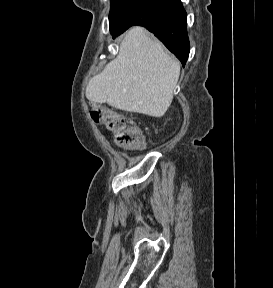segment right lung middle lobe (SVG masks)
Segmentation results:
<instances>
[{
  "mask_svg": "<svg viewBox=\"0 0 273 288\" xmlns=\"http://www.w3.org/2000/svg\"><path fill=\"white\" fill-rule=\"evenodd\" d=\"M137 0H111L109 13L110 29L113 28Z\"/></svg>",
  "mask_w": 273,
  "mask_h": 288,
  "instance_id": "1",
  "label": "right lung middle lobe"
}]
</instances>
